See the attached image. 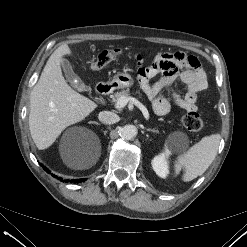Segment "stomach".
Instances as JSON below:
<instances>
[{
  "mask_svg": "<svg viewBox=\"0 0 247 247\" xmlns=\"http://www.w3.org/2000/svg\"><path fill=\"white\" fill-rule=\"evenodd\" d=\"M134 84L133 77L128 73H117L113 76L110 85L113 89L129 88Z\"/></svg>",
  "mask_w": 247,
  "mask_h": 247,
  "instance_id": "stomach-1",
  "label": "stomach"
}]
</instances>
